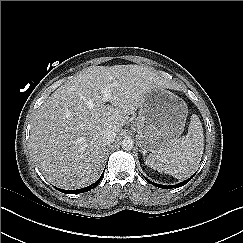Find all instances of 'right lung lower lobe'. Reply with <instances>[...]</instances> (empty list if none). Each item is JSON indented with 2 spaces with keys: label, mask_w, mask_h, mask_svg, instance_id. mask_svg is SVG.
<instances>
[{
  "label": "right lung lower lobe",
  "mask_w": 243,
  "mask_h": 243,
  "mask_svg": "<svg viewBox=\"0 0 243 243\" xmlns=\"http://www.w3.org/2000/svg\"><path fill=\"white\" fill-rule=\"evenodd\" d=\"M103 175H104V173L101 175V177L95 183H93L92 185H90L88 187L82 188V189H77V190H63V189H59V188H56V189L63 193H66V194H78V193L87 192V191L95 188L100 183Z\"/></svg>",
  "instance_id": "1"
}]
</instances>
